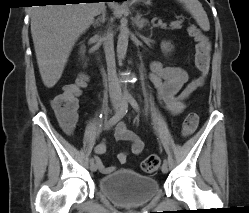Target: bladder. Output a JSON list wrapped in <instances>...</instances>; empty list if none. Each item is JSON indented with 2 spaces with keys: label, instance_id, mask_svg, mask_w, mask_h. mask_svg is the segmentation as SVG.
<instances>
[{
  "label": "bladder",
  "instance_id": "bladder-1",
  "mask_svg": "<svg viewBox=\"0 0 249 213\" xmlns=\"http://www.w3.org/2000/svg\"><path fill=\"white\" fill-rule=\"evenodd\" d=\"M98 188L112 202L120 206L143 205L159 191L155 178L131 169H122L102 176Z\"/></svg>",
  "mask_w": 249,
  "mask_h": 213
}]
</instances>
